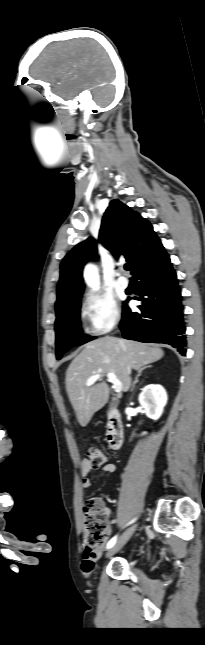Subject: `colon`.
Segmentation results:
<instances>
[{
    "label": "colon",
    "mask_w": 205,
    "mask_h": 645,
    "mask_svg": "<svg viewBox=\"0 0 205 645\" xmlns=\"http://www.w3.org/2000/svg\"><path fill=\"white\" fill-rule=\"evenodd\" d=\"M86 456L94 468L103 466L108 459L103 450L94 446L87 448ZM83 525L85 529L84 541L86 549L94 551L102 547L109 536V523L101 498H90L84 502Z\"/></svg>",
    "instance_id": "colon-1"
}]
</instances>
